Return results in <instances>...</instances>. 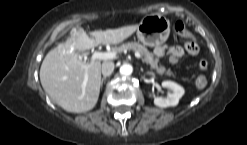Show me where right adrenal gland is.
Instances as JSON below:
<instances>
[{
	"instance_id": "2a0ac1e0",
	"label": "right adrenal gland",
	"mask_w": 247,
	"mask_h": 145,
	"mask_svg": "<svg viewBox=\"0 0 247 145\" xmlns=\"http://www.w3.org/2000/svg\"><path fill=\"white\" fill-rule=\"evenodd\" d=\"M104 80H106V77H103L101 80V86L103 85Z\"/></svg>"
}]
</instances>
